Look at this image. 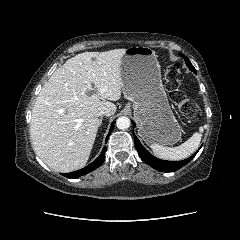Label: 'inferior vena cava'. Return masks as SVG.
Masks as SVG:
<instances>
[{"label": "inferior vena cava", "instance_id": "obj_1", "mask_svg": "<svg viewBox=\"0 0 240 240\" xmlns=\"http://www.w3.org/2000/svg\"><path fill=\"white\" fill-rule=\"evenodd\" d=\"M98 116H102V115H106V116H109V112L107 110H100L98 113H97Z\"/></svg>", "mask_w": 240, "mask_h": 240}]
</instances>
